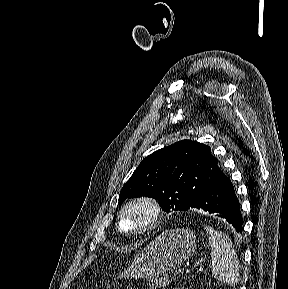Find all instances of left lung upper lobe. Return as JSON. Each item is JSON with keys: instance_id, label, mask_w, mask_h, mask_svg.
Segmentation results:
<instances>
[{"instance_id": "5c2ea615", "label": "left lung upper lobe", "mask_w": 288, "mask_h": 289, "mask_svg": "<svg viewBox=\"0 0 288 289\" xmlns=\"http://www.w3.org/2000/svg\"><path fill=\"white\" fill-rule=\"evenodd\" d=\"M222 173L211 148L182 140L155 151L139 164L119 194L157 199L163 211H186Z\"/></svg>"}]
</instances>
